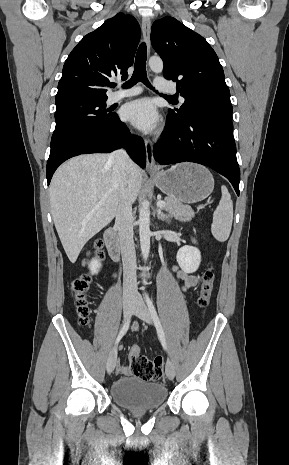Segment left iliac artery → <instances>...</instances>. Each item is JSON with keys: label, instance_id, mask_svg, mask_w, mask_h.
<instances>
[{"label": "left iliac artery", "instance_id": "left-iliac-artery-1", "mask_svg": "<svg viewBox=\"0 0 289 465\" xmlns=\"http://www.w3.org/2000/svg\"><path fill=\"white\" fill-rule=\"evenodd\" d=\"M145 298H146V303H147V306H148V308L150 310L151 316H152V318L154 320L158 337H159V339L161 341V344H162L163 348L165 350H167V344H166L163 328L161 326V323H160L159 317L157 315L155 306L153 305V302L151 301V299L149 298V296L147 294L145 295Z\"/></svg>", "mask_w": 289, "mask_h": 465}]
</instances>
